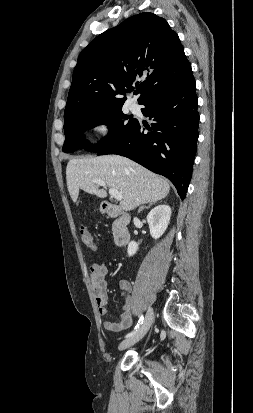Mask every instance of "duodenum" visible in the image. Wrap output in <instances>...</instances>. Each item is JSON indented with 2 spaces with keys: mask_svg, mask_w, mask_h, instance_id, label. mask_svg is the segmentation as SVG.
<instances>
[{
  "mask_svg": "<svg viewBox=\"0 0 253 413\" xmlns=\"http://www.w3.org/2000/svg\"><path fill=\"white\" fill-rule=\"evenodd\" d=\"M103 210L108 216L114 218L113 237L115 244L120 247H125L130 240L128 230L130 216L119 207L110 203H104Z\"/></svg>",
  "mask_w": 253,
  "mask_h": 413,
  "instance_id": "duodenum-1",
  "label": "duodenum"
}]
</instances>
